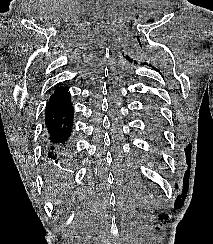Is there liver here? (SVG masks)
<instances>
[{"instance_id":"liver-1","label":"liver","mask_w":213,"mask_h":244,"mask_svg":"<svg viewBox=\"0 0 213 244\" xmlns=\"http://www.w3.org/2000/svg\"><path fill=\"white\" fill-rule=\"evenodd\" d=\"M48 192L55 204H62L68 193V185L63 182L55 181L52 186L48 188Z\"/></svg>"}]
</instances>
